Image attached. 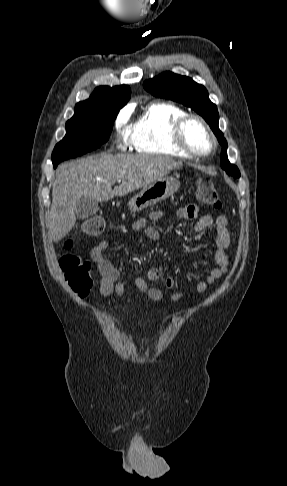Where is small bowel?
Segmentation results:
<instances>
[{"label":"small bowel","instance_id":"c3829d8e","mask_svg":"<svg viewBox=\"0 0 287 486\" xmlns=\"http://www.w3.org/2000/svg\"><path fill=\"white\" fill-rule=\"evenodd\" d=\"M165 216V211L158 210L151 212L147 217H141L133 222L131 228L135 232L143 233L148 239L157 241L160 239L159 231L149 226V221H157ZM175 217L179 219L195 220L194 229L197 232H202L214 226L216 230V238L214 241L213 261L214 268L209 272L204 280L196 284V290L200 293L205 292L209 285L220 279L228 272V256L226 250L230 244V232L228 220L224 215H219L216 218L208 214L199 215L198 207L196 205H188L180 208L175 212ZM110 242L108 240H101L90 251V257L96 264L100 275V293L103 296L116 294L123 296L125 293V284L121 279L119 270L104 256V251L108 249ZM161 278V270L158 267H151L146 271L145 277H135V286L143 293H145L151 300H161L166 290H170L175 286V279L172 276H167L163 280V287H152L148 281H158ZM184 298V293L175 291L170 295L172 302H179Z\"/></svg>","mask_w":287,"mask_h":486}]
</instances>
